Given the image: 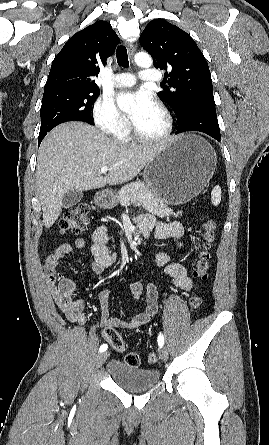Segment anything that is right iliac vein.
<instances>
[{"instance_id": "63e3f726", "label": "right iliac vein", "mask_w": 269, "mask_h": 445, "mask_svg": "<svg viewBox=\"0 0 269 445\" xmlns=\"http://www.w3.org/2000/svg\"><path fill=\"white\" fill-rule=\"evenodd\" d=\"M107 356H108L107 352H103V353L98 355L97 361H96L97 367H100V366H102L104 364V362L107 359Z\"/></svg>"}]
</instances>
